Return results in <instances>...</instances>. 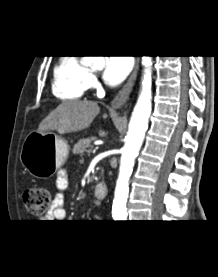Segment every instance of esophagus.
Listing matches in <instances>:
<instances>
[{"instance_id": "1", "label": "esophagus", "mask_w": 218, "mask_h": 277, "mask_svg": "<svg viewBox=\"0 0 218 277\" xmlns=\"http://www.w3.org/2000/svg\"><path fill=\"white\" fill-rule=\"evenodd\" d=\"M139 61H140V58L137 57L134 70L131 73L129 79L127 80L125 85L122 87V89L118 92V94L112 100L111 106L113 108H115V109L121 108L128 100L129 95L133 89V86H134L136 78H137V74H138V70H139Z\"/></svg>"}]
</instances>
